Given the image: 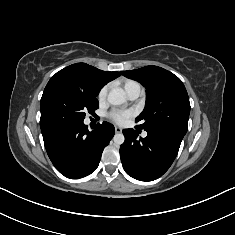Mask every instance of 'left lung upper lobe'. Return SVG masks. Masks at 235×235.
<instances>
[{"instance_id":"obj_1","label":"left lung upper lobe","mask_w":235,"mask_h":235,"mask_svg":"<svg viewBox=\"0 0 235 235\" xmlns=\"http://www.w3.org/2000/svg\"><path fill=\"white\" fill-rule=\"evenodd\" d=\"M127 78L146 87V105L136 118L137 127L152 131L167 130L184 136L188 129L190 102L182 81L173 73L157 66L121 71Z\"/></svg>"}]
</instances>
